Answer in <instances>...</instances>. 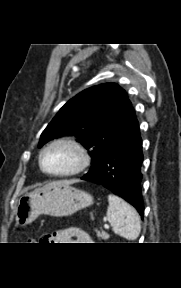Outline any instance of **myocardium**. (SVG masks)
<instances>
[{"mask_svg":"<svg viewBox=\"0 0 181 288\" xmlns=\"http://www.w3.org/2000/svg\"><path fill=\"white\" fill-rule=\"evenodd\" d=\"M55 146H66V147L71 148L76 153L77 164L74 168H72L69 171H65L61 173L50 172L46 169V167L44 166V155L49 149ZM88 164H89V155L86 149L77 139L73 137H60V138L54 139L42 149L39 155V165H40L41 170L46 175H49L51 177L63 178V177H70L73 175H77L80 172H82L88 166Z\"/></svg>","mask_w":181,"mask_h":288,"instance_id":"myocardium-1","label":"myocardium"}]
</instances>
